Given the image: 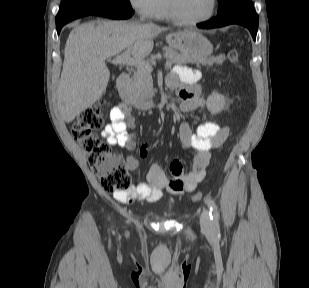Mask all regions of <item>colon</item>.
Segmentation results:
<instances>
[{"label": "colon", "mask_w": 309, "mask_h": 288, "mask_svg": "<svg viewBox=\"0 0 309 288\" xmlns=\"http://www.w3.org/2000/svg\"><path fill=\"white\" fill-rule=\"evenodd\" d=\"M227 57L231 63L239 66L235 50H230ZM105 107L106 101L99 100L83 109L73 122L71 133L75 141L87 152L89 167L97 175L103 189L114 194H123L130 190L131 182L126 160L114 152L96 133L103 125ZM168 191L170 192L169 189ZM201 198V191H196L191 197L193 201H199Z\"/></svg>", "instance_id": "obj_1"}]
</instances>
